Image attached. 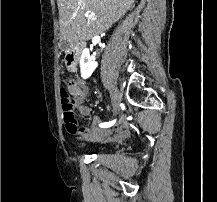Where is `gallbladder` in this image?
<instances>
[{
    "label": "gallbladder",
    "mask_w": 217,
    "mask_h": 202,
    "mask_svg": "<svg viewBox=\"0 0 217 202\" xmlns=\"http://www.w3.org/2000/svg\"><path fill=\"white\" fill-rule=\"evenodd\" d=\"M68 39H63L62 42H61V50L62 51H67L68 50V46H69V43H68Z\"/></svg>",
    "instance_id": "bac80fb5"
}]
</instances>
